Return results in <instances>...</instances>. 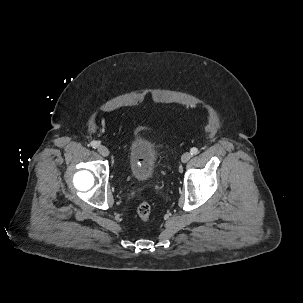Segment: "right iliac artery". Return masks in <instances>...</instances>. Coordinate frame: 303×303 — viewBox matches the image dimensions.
I'll return each mask as SVG.
<instances>
[{
    "label": "right iliac artery",
    "mask_w": 303,
    "mask_h": 303,
    "mask_svg": "<svg viewBox=\"0 0 303 303\" xmlns=\"http://www.w3.org/2000/svg\"><path fill=\"white\" fill-rule=\"evenodd\" d=\"M90 145H91L93 148H96V147H98V146L100 145V143L97 142V141H92V142L90 143Z\"/></svg>",
    "instance_id": "obj_1"
}]
</instances>
